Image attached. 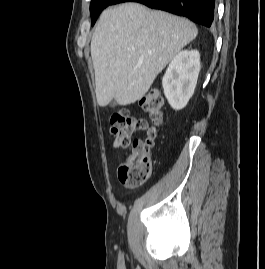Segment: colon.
Listing matches in <instances>:
<instances>
[{
  "instance_id": "colon-1",
  "label": "colon",
  "mask_w": 265,
  "mask_h": 269,
  "mask_svg": "<svg viewBox=\"0 0 265 269\" xmlns=\"http://www.w3.org/2000/svg\"><path fill=\"white\" fill-rule=\"evenodd\" d=\"M141 108L149 115L153 126L148 130L144 141L135 140L127 161L118 170L119 180L128 187L147 182L152 174V148L157 133V127L162 123L164 101L161 94L155 91L147 93L140 102ZM111 134L118 147L126 149L131 144V135L147 127L143 119L129 115L126 110L118 111L110 116Z\"/></svg>"
}]
</instances>
